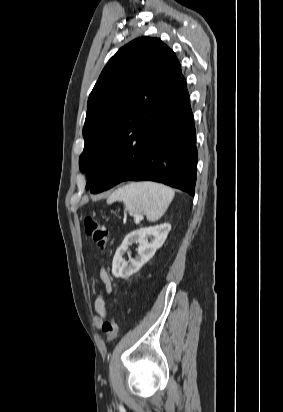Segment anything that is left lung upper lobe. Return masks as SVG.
I'll list each match as a JSON object with an SVG mask.
<instances>
[{
	"label": "left lung upper lobe",
	"mask_w": 283,
	"mask_h": 412,
	"mask_svg": "<svg viewBox=\"0 0 283 412\" xmlns=\"http://www.w3.org/2000/svg\"><path fill=\"white\" fill-rule=\"evenodd\" d=\"M185 83L174 52L160 39L142 37L119 49L88 99L79 158L87 189L95 193V178L112 152L143 149Z\"/></svg>",
	"instance_id": "1"
}]
</instances>
